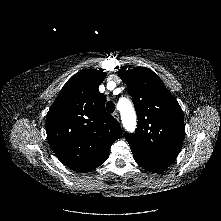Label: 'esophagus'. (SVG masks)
Segmentation results:
<instances>
[{"label":"esophagus","mask_w":221,"mask_h":221,"mask_svg":"<svg viewBox=\"0 0 221 221\" xmlns=\"http://www.w3.org/2000/svg\"><path fill=\"white\" fill-rule=\"evenodd\" d=\"M112 115L116 120H119V115L117 112H114Z\"/></svg>","instance_id":"esophagus-1"}]
</instances>
